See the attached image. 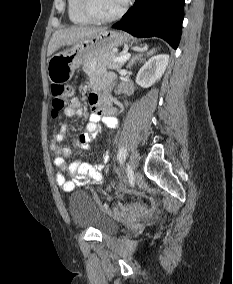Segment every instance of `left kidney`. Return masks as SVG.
Here are the masks:
<instances>
[{"label":"left kidney","instance_id":"obj_1","mask_svg":"<svg viewBox=\"0 0 233 284\" xmlns=\"http://www.w3.org/2000/svg\"><path fill=\"white\" fill-rule=\"evenodd\" d=\"M169 62V55L159 54L151 57L139 70L136 83L148 88L155 84L164 74Z\"/></svg>","mask_w":233,"mask_h":284}]
</instances>
